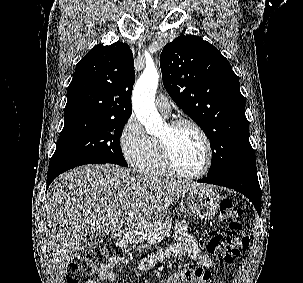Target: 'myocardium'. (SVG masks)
I'll list each match as a JSON object with an SVG mask.
<instances>
[{"label":"myocardium","instance_id":"f54148a6","mask_svg":"<svg viewBox=\"0 0 303 283\" xmlns=\"http://www.w3.org/2000/svg\"><path fill=\"white\" fill-rule=\"evenodd\" d=\"M167 126L171 131H175L182 126L192 127L201 137L204 147H205V151H206L205 163L200 171H198L197 173H194V174L183 173L177 168V166L174 162L172 149H171L169 140L167 138L158 137L157 141H158V145H159L161 160H162L163 166L168 171V173L177 178L185 179V180L199 179V178L203 177L205 174H207V172L211 168L212 161H213V148L211 145V141H210L208 135L206 134V132L204 131V129L197 122H195L191 119L173 120V121L169 122L167 124Z\"/></svg>","mask_w":303,"mask_h":283}]
</instances>
